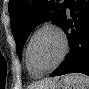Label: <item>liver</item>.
<instances>
[{
  "instance_id": "6515ba94",
  "label": "liver",
  "mask_w": 89,
  "mask_h": 89,
  "mask_svg": "<svg viewBox=\"0 0 89 89\" xmlns=\"http://www.w3.org/2000/svg\"><path fill=\"white\" fill-rule=\"evenodd\" d=\"M56 82H58V79L57 78L45 79V80L41 81L37 85V87H38V89H46V87H48V86H50V85H52V84H54Z\"/></svg>"
}]
</instances>
